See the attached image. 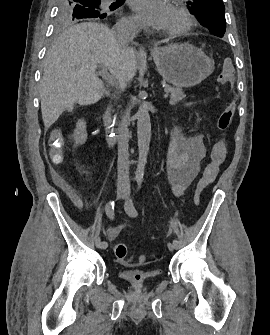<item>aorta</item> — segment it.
<instances>
[{"label":"aorta","mask_w":270,"mask_h":335,"mask_svg":"<svg viewBox=\"0 0 270 335\" xmlns=\"http://www.w3.org/2000/svg\"><path fill=\"white\" fill-rule=\"evenodd\" d=\"M139 96L144 100L147 94L140 92ZM136 116L139 158L135 171V179H139L140 181L144 175L151 140V122L147 102H142Z\"/></svg>","instance_id":"obj_1"}]
</instances>
